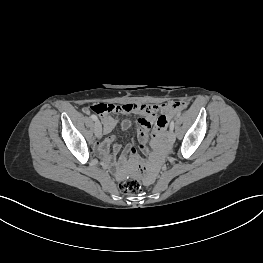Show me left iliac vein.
Instances as JSON below:
<instances>
[{"label":"left iliac vein","instance_id":"obj_1","mask_svg":"<svg viewBox=\"0 0 263 263\" xmlns=\"http://www.w3.org/2000/svg\"><path fill=\"white\" fill-rule=\"evenodd\" d=\"M175 138H176L175 133L172 130H170L168 133V141L171 144H173L175 142Z\"/></svg>","mask_w":263,"mask_h":263}]
</instances>
